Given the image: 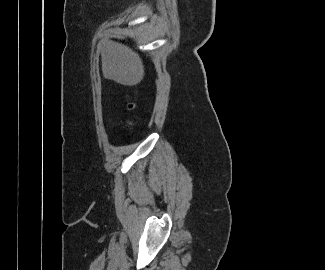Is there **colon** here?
I'll use <instances>...</instances> for the list:
<instances>
[{
    "label": "colon",
    "mask_w": 325,
    "mask_h": 270,
    "mask_svg": "<svg viewBox=\"0 0 325 270\" xmlns=\"http://www.w3.org/2000/svg\"><path fill=\"white\" fill-rule=\"evenodd\" d=\"M133 107H134V105H133V104H130V105H129V108H130V109H132Z\"/></svg>",
    "instance_id": "5ec220e1"
}]
</instances>
